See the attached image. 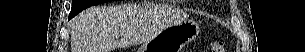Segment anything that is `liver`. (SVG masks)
Wrapping results in <instances>:
<instances>
[{
    "label": "liver",
    "instance_id": "obj_1",
    "mask_svg": "<svg viewBox=\"0 0 305 52\" xmlns=\"http://www.w3.org/2000/svg\"><path fill=\"white\" fill-rule=\"evenodd\" d=\"M161 30L149 27L143 7H91L72 22L71 52H111L147 42Z\"/></svg>",
    "mask_w": 305,
    "mask_h": 52
}]
</instances>
